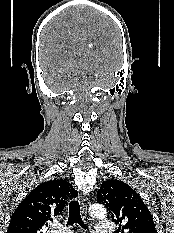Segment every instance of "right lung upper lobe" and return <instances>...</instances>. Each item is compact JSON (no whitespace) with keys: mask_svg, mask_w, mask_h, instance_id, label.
Returning a JSON list of instances; mask_svg holds the SVG:
<instances>
[{"mask_svg":"<svg viewBox=\"0 0 174 233\" xmlns=\"http://www.w3.org/2000/svg\"><path fill=\"white\" fill-rule=\"evenodd\" d=\"M76 196L77 192L65 180L38 185L12 214L7 233H42L47 221L62 213L67 199Z\"/></svg>","mask_w":174,"mask_h":233,"instance_id":"cb5924a9","label":"right lung upper lobe"}]
</instances>
